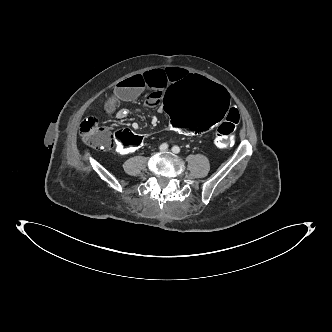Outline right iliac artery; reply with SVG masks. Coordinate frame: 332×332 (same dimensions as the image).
Returning a JSON list of instances; mask_svg holds the SVG:
<instances>
[{"instance_id":"right-iliac-artery-1","label":"right iliac artery","mask_w":332,"mask_h":332,"mask_svg":"<svg viewBox=\"0 0 332 332\" xmlns=\"http://www.w3.org/2000/svg\"><path fill=\"white\" fill-rule=\"evenodd\" d=\"M159 149H160L161 151L167 150V149H168V144H167V143H163V144H161L160 147H159Z\"/></svg>"}]
</instances>
